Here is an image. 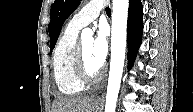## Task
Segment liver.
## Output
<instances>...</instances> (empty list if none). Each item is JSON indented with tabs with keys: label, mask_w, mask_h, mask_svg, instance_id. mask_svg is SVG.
<instances>
[{
	"label": "liver",
	"mask_w": 193,
	"mask_h": 112,
	"mask_svg": "<svg viewBox=\"0 0 193 112\" xmlns=\"http://www.w3.org/2000/svg\"><path fill=\"white\" fill-rule=\"evenodd\" d=\"M93 98L60 97L52 105V112H93Z\"/></svg>",
	"instance_id": "obj_1"
}]
</instances>
